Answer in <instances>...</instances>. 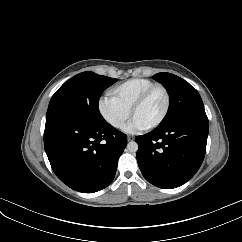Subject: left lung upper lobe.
<instances>
[{"mask_svg":"<svg viewBox=\"0 0 242 242\" xmlns=\"http://www.w3.org/2000/svg\"><path fill=\"white\" fill-rule=\"evenodd\" d=\"M153 78L165 86L170 97L168 114L160 126L187 114L205 112L198 91L182 78L165 72L155 74Z\"/></svg>","mask_w":242,"mask_h":242,"instance_id":"1","label":"left lung upper lobe"}]
</instances>
